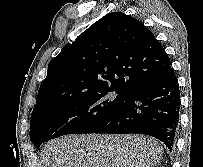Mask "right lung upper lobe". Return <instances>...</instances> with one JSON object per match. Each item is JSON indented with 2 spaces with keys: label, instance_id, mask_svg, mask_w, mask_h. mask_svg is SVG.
<instances>
[{
  "label": "right lung upper lobe",
  "instance_id": "obj_1",
  "mask_svg": "<svg viewBox=\"0 0 203 167\" xmlns=\"http://www.w3.org/2000/svg\"><path fill=\"white\" fill-rule=\"evenodd\" d=\"M170 68L163 46L142 22L112 12L49 62L33 111L56 100L104 90L124 95Z\"/></svg>",
  "mask_w": 203,
  "mask_h": 167
}]
</instances>
